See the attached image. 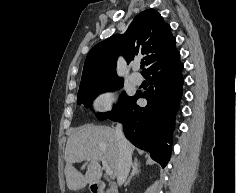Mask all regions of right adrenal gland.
I'll return each mask as SVG.
<instances>
[{"label": "right adrenal gland", "mask_w": 237, "mask_h": 193, "mask_svg": "<svg viewBox=\"0 0 237 193\" xmlns=\"http://www.w3.org/2000/svg\"><path fill=\"white\" fill-rule=\"evenodd\" d=\"M139 173H140V163L138 162V159L135 158L134 163L132 165V172H131L129 178L127 179V181L125 182L124 186L129 185V183H130L131 179L133 178V176L139 175Z\"/></svg>", "instance_id": "2a0ac1e0"}]
</instances>
